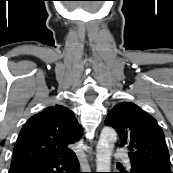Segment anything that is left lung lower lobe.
I'll return each mask as SVG.
<instances>
[{"instance_id":"1","label":"left lung lower lobe","mask_w":173,"mask_h":173,"mask_svg":"<svg viewBox=\"0 0 173 173\" xmlns=\"http://www.w3.org/2000/svg\"><path fill=\"white\" fill-rule=\"evenodd\" d=\"M122 173H159L158 171H155L153 169L150 168H146V167H140V166H136V165H131V169L129 170V172L125 171V170H121Z\"/></svg>"}]
</instances>
